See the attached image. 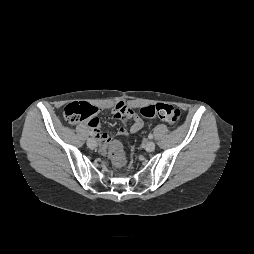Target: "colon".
Listing matches in <instances>:
<instances>
[{"instance_id":"1","label":"colon","mask_w":254,"mask_h":254,"mask_svg":"<svg viewBox=\"0 0 254 254\" xmlns=\"http://www.w3.org/2000/svg\"><path fill=\"white\" fill-rule=\"evenodd\" d=\"M140 112L146 118H157L171 126L177 124L181 116L179 109L166 103L144 106ZM96 115L97 109L86 103H71L63 109L65 120L71 124L82 121L90 123L96 118ZM110 154L116 166L121 167L125 164L123 153L118 144H112Z\"/></svg>"}]
</instances>
